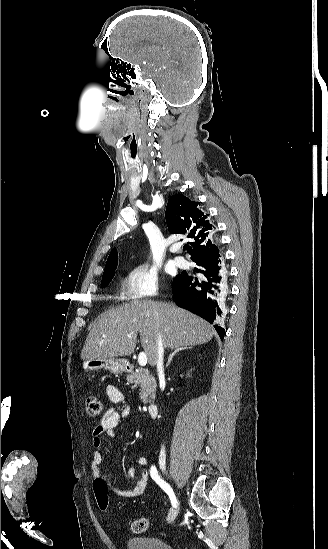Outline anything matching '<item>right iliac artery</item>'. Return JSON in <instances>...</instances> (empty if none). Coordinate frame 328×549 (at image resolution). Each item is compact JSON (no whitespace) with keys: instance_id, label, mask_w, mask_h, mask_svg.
I'll list each match as a JSON object with an SVG mask.
<instances>
[{"instance_id":"82829eb1","label":"right iliac artery","mask_w":328,"mask_h":549,"mask_svg":"<svg viewBox=\"0 0 328 549\" xmlns=\"http://www.w3.org/2000/svg\"><path fill=\"white\" fill-rule=\"evenodd\" d=\"M150 474H151L152 479L168 494V496L171 500L172 506L176 507L177 506V500H176V497L174 495V492H173L172 488L170 487V485L168 483H166L164 480H162L160 478V476L157 473V470H156L155 466L151 467Z\"/></svg>"}]
</instances>
